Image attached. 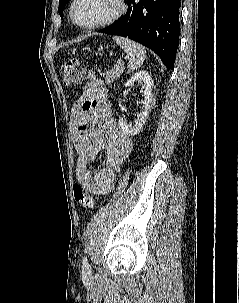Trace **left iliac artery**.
I'll return each mask as SVG.
<instances>
[{
    "instance_id": "left-iliac-artery-1",
    "label": "left iliac artery",
    "mask_w": 239,
    "mask_h": 303,
    "mask_svg": "<svg viewBox=\"0 0 239 303\" xmlns=\"http://www.w3.org/2000/svg\"><path fill=\"white\" fill-rule=\"evenodd\" d=\"M82 264H83L84 268H88L89 267V264L87 262V258L86 257L83 258Z\"/></svg>"
}]
</instances>
